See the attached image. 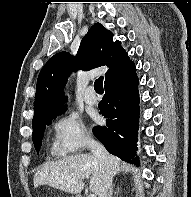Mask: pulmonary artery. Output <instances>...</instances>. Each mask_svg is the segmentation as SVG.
Listing matches in <instances>:
<instances>
[{"instance_id": "e3ab8cb5", "label": "pulmonary artery", "mask_w": 191, "mask_h": 197, "mask_svg": "<svg viewBox=\"0 0 191 197\" xmlns=\"http://www.w3.org/2000/svg\"><path fill=\"white\" fill-rule=\"evenodd\" d=\"M84 100L88 105H94L97 102V97L94 93V89L92 86H89L86 89L85 95H84Z\"/></svg>"}]
</instances>
